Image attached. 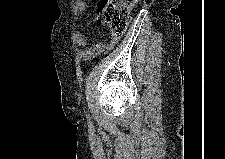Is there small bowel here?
<instances>
[{
	"mask_svg": "<svg viewBox=\"0 0 225 159\" xmlns=\"http://www.w3.org/2000/svg\"><path fill=\"white\" fill-rule=\"evenodd\" d=\"M87 4L85 1H77L74 5V16L75 20H78L81 15L86 11ZM73 40L74 42L80 46L84 47L87 45V38L79 31H73ZM119 37L109 36L107 42H98L94 45L86 47L85 49H80L78 51V56L82 61H89L103 53L104 51L111 50L114 48L116 43L118 42Z\"/></svg>",
	"mask_w": 225,
	"mask_h": 159,
	"instance_id": "c3829d8e",
	"label": "small bowel"
}]
</instances>
